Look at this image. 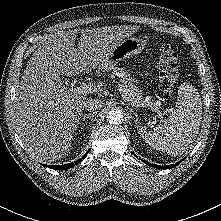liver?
Masks as SVG:
<instances>
[{
    "label": "liver",
    "instance_id": "1",
    "mask_svg": "<svg viewBox=\"0 0 221 221\" xmlns=\"http://www.w3.org/2000/svg\"><path fill=\"white\" fill-rule=\"evenodd\" d=\"M138 26H114L51 35L34 51L16 91L14 125L30 154L54 161L67 154L82 117L86 95L69 92L60 75L91 73Z\"/></svg>",
    "mask_w": 221,
    "mask_h": 221
}]
</instances>
